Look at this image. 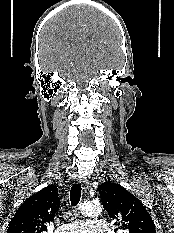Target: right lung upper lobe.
Returning <instances> with one entry per match:
<instances>
[{
    "label": "right lung upper lobe",
    "mask_w": 174,
    "mask_h": 233,
    "mask_svg": "<svg viewBox=\"0 0 174 233\" xmlns=\"http://www.w3.org/2000/svg\"><path fill=\"white\" fill-rule=\"evenodd\" d=\"M58 188L50 185L30 196L16 211L7 233H42L59 209Z\"/></svg>",
    "instance_id": "1"
}]
</instances>
